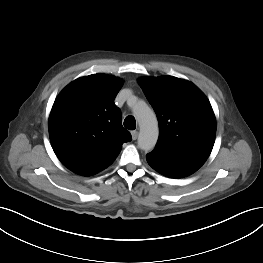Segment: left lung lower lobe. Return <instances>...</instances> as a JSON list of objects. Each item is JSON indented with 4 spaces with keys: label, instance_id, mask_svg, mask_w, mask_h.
<instances>
[{
    "label": "left lung lower lobe",
    "instance_id": "obj_1",
    "mask_svg": "<svg viewBox=\"0 0 263 263\" xmlns=\"http://www.w3.org/2000/svg\"><path fill=\"white\" fill-rule=\"evenodd\" d=\"M149 165L164 176L182 178L197 171L207 158L182 156L153 150L146 155Z\"/></svg>",
    "mask_w": 263,
    "mask_h": 263
}]
</instances>
